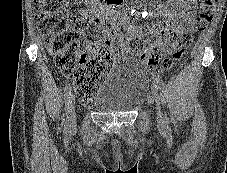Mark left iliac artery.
Segmentation results:
<instances>
[{
  "mask_svg": "<svg viewBox=\"0 0 227 173\" xmlns=\"http://www.w3.org/2000/svg\"><path fill=\"white\" fill-rule=\"evenodd\" d=\"M152 78H153L154 84L157 86V88L164 90V83H163L162 78L158 74H152ZM165 124H167V125L169 124V120L167 117H165Z\"/></svg>",
  "mask_w": 227,
  "mask_h": 173,
  "instance_id": "44dca946",
  "label": "left iliac artery"
}]
</instances>
